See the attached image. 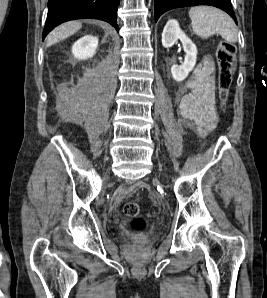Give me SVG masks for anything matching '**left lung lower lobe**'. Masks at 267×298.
Segmentation results:
<instances>
[{"label":"left lung lower lobe","instance_id":"0a47b994","mask_svg":"<svg viewBox=\"0 0 267 298\" xmlns=\"http://www.w3.org/2000/svg\"><path fill=\"white\" fill-rule=\"evenodd\" d=\"M195 5H211L227 12L237 23L230 0H155V20L166 11Z\"/></svg>","mask_w":267,"mask_h":298}]
</instances>
